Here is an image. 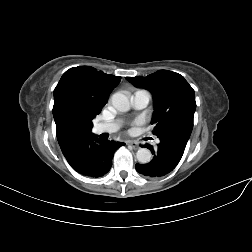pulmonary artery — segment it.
Listing matches in <instances>:
<instances>
[{
	"label": "pulmonary artery",
	"instance_id": "obj_1",
	"mask_svg": "<svg viewBox=\"0 0 252 252\" xmlns=\"http://www.w3.org/2000/svg\"><path fill=\"white\" fill-rule=\"evenodd\" d=\"M150 101V94L147 91H136L131 97L132 106L136 109L145 108ZM119 128L118 122H106L95 125L94 132L96 134L113 133ZM159 142V140H157Z\"/></svg>",
	"mask_w": 252,
	"mask_h": 252
}]
</instances>
